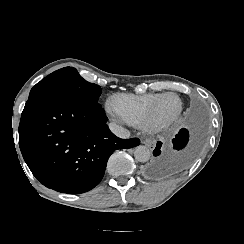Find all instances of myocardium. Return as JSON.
<instances>
[{
    "label": "myocardium",
    "instance_id": "obj_1",
    "mask_svg": "<svg viewBox=\"0 0 244 244\" xmlns=\"http://www.w3.org/2000/svg\"><path fill=\"white\" fill-rule=\"evenodd\" d=\"M167 96L174 97L177 100V106L173 110V112L171 113L169 118L163 119L161 121L160 125H158V127H157L158 129H164L167 126H169L174 121V119L176 118V116L178 115V113H179V111L181 110V107H182V101H181L180 97L176 93H174V92H164V93L159 94L158 96H156V98H155L156 107H154L152 109V116L154 114H156L157 112H161V109L158 107V104L161 101V99H163L164 97H167Z\"/></svg>",
    "mask_w": 244,
    "mask_h": 244
}]
</instances>
